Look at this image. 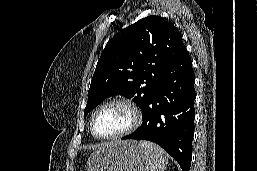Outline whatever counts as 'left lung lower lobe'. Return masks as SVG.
Listing matches in <instances>:
<instances>
[{
    "label": "left lung lower lobe",
    "instance_id": "obj_1",
    "mask_svg": "<svg viewBox=\"0 0 257 171\" xmlns=\"http://www.w3.org/2000/svg\"><path fill=\"white\" fill-rule=\"evenodd\" d=\"M195 75L185 46L167 63L143 111L138 130L122 139L149 140L160 145L189 171L194 134Z\"/></svg>",
    "mask_w": 257,
    "mask_h": 171
}]
</instances>
